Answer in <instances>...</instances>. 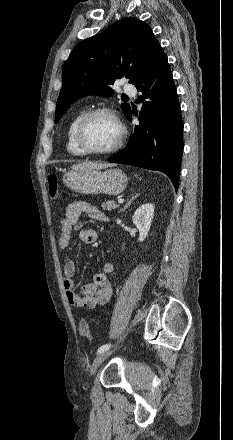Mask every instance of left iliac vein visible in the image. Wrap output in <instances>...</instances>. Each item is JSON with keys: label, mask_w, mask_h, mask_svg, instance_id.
Listing matches in <instances>:
<instances>
[{"label": "left iliac vein", "mask_w": 233, "mask_h": 440, "mask_svg": "<svg viewBox=\"0 0 233 440\" xmlns=\"http://www.w3.org/2000/svg\"><path fill=\"white\" fill-rule=\"evenodd\" d=\"M110 355H111V351H108V350H106L104 352H100L96 356V358L94 359V361L91 365L90 374L93 375L96 372L97 368L100 366V364Z\"/></svg>", "instance_id": "4c4485c4"}]
</instances>
